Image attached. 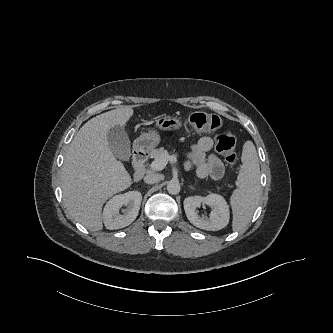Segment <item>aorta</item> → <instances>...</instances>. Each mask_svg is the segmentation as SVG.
<instances>
[{"mask_svg": "<svg viewBox=\"0 0 333 333\" xmlns=\"http://www.w3.org/2000/svg\"><path fill=\"white\" fill-rule=\"evenodd\" d=\"M181 186L178 180H171L167 184V191L170 194L176 195L180 192Z\"/></svg>", "mask_w": 333, "mask_h": 333, "instance_id": "aorta-1", "label": "aorta"}]
</instances>
